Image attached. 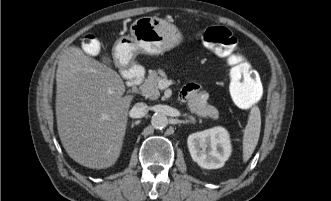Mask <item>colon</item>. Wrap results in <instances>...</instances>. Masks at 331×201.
Segmentation results:
<instances>
[{"label": "colon", "mask_w": 331, "mask_h": 201, "mask_svg": "<svg viewBox=\"0 0 331 201\" xmlns=\"http://www.w3.org/2000/svg\"><path fill=\"white\" fill-rule=\"evenodd\" d=\"M202 42L230 66V93L235 104L242 109L252 108L262 95L259 76L245 58L237 52V40L225 27L209 26L200 31ZM83 49L89 55L100 52L99 41L91 35L85 37Z\"/></svg>", "instance_id": "colon-1"}]
</instances>
